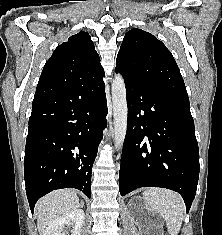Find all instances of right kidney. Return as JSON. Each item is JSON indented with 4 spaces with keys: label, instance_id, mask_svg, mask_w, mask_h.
Instances as JSON below:
<instances>
[{
    "label": "right kidney",
    "instance_id": "obj_1",
    "mask_svg": "<svg viewBox=\"0 0 222 235\" xmlns=\"http://www.w3.org/2000/svg\"><path fill=\"white\" fill-rule=\"evenodd\" d=\"M84 211L76 209L53 221L47 228L46 235H65L62 231L65 225L73 227L71 235H80L84 222Z\"/></svg>",
    "mask_w": 222,
    "mask_h": 235
}]
</instances>
